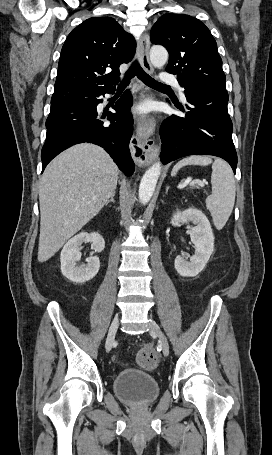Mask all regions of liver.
Here are the masks:
<instances>
[{"label": "liver", "mask_w": 272, "mask_h": 455, "mask_svg": "<svg viewBox=\"0 0 272 455\" xmlns=\"http://www.w3.org/2000/svg\"><path fill=\"white\" fill-rule=\"evenodd\" d=\"M118 168L99 146L83 143L57 156L39 187L38 261L46 262L94 218L115 192Z\"/></svg>", "instance_id": "liver-1"}]
</instances>
